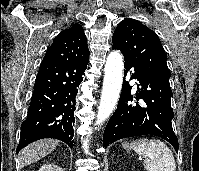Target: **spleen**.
Returning <instances> with one entry per match:
<instances>
[{"mask_svg":"<svg viewBox=\"0 0 199 171\" xmlns=\"http://www.w3.org/2000/svg\"><path fill=\"white\" fill-rule=\"evenodd\" d=\"M130 146L145 157L144 168L147 171H176L173 153L164 142L141 138L133 141Z\"/></svg>","mask_w":199,"mask_h":171,"instance_id":"obj_1","label":"spleen"}]
</instances>
